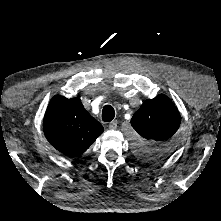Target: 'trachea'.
<instances>
[{
  "mask_svg": "<svg viewBox=\"0 0 221 221\" xmlns=\"http://www.w3.org/2000/svg\"><path fill=\"white\" fill-rule=\"evenodd\" d=\"M115 117V111L114 108L110 105H105L102 110V120L104 122H110Z\"/></svg>",
  "mask_w": 221,
  "mask_h": 221,
  "instance_id": "3493384b",
  "label": "trachea"
}]
</instances>
